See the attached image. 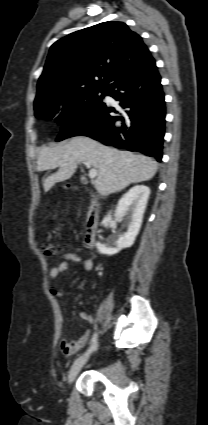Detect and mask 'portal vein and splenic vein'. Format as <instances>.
Segmentation results:
<instances>
[{"label": "portal vein and splenic vein", "mask_w": 208, "mask_h": 425, "mask_svg": "<svg viewBox=\"0 0 208 425\" xmlns=\"http://www.w3.org/2000/svg\"><path fill=\"white\" fill-rule=\"evenodd\" d=\"M87 168H89V178L94 179L97 176V170L95 168H91V164L88 162L84 163Z\"/></svg>", "instance_id": "obj_1"}]
</instances>
